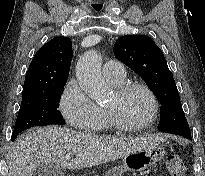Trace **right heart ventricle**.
<instances>
[{"label": "right heart ventricle", "instance_id": "e07e8e85", "mask_svg": "<svg viewBox=\"0 0 205 176\" xmlns=\"http://www.w3.org/2000/svg\"><path fill=\"white\" fill-rule=\"evenodd\" d=\"M114 87L119 88L124 84V80L120 82L108 80ZM100 119L96 124L97 133H105L113 127V120L107 108L100 107Z\"/></svg>", "mask_w": 205, "mask_h": 176}]
</instances>
